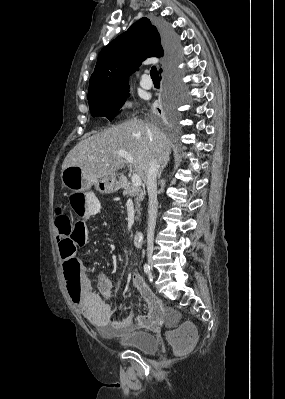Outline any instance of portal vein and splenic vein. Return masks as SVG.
I'll return each instance as SVG.
<instances>
[{"mask_svg":"<svg viewBox=\"0 0 285 399\" xmlns=\"http://www.w3.org/2000/svg\"><path fill=\"white\" fill-rule=\"evenodd\" d=\"M118 155L124 158L128 163H133L132 156L126 151H119ZM132 185L135 187H140L142 185L141 177L137 173H133L132 175Z\"/></svg>","mask_w":285,"mask_h":399,"instance_id":"18ae733b","label":"portal vein and splenic vein"}]
</instances>
